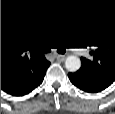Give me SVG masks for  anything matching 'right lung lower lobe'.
Segmentation results:
<instances>
[{
  "mask_svg": "<svg viewBox=\"0 0 115 114\" xmlns=\"http://www.w3.org/2000/svg\"><path fill=\"white\" fill-rule=\"evenodd\" d=\"M49 65L44 67L38 73H36L29 81H27V83L18 84L17 86L13 88L4 89V90L2 89V90L13 96H22V95L30 93L32 90H34L43 82L46 70L49 67Z\"/></svg>",
  "mask_w": 115,
  "mask_h": 114,
  "instance_id": "98d812e1",
  "label": "right lung lower lobe"
}]
</instances>
